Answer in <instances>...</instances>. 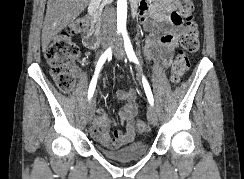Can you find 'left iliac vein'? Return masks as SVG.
Masks as SVG:
<instances>
[{
	"mask_svg": "<svg viewBox=\"0 0 244 179\" xmlns=\"http://www.w3.org/2000/svg\"><path fill=\"white\" fill-rule=\"evenodd\" d=\"M115 57L119 60H123L125 57V51L122 46V39L118 38L114 44V51H113ZM147 119L152 125H156L158 118L155 108L151 106L148 107L147 110Z\"/></svg>",
	"mask_w": 244,
	"mask_h": 179,
	"instance_id": "left-iliac-vein-1",
	"label": "left iliac vein"
}]
</instances>
